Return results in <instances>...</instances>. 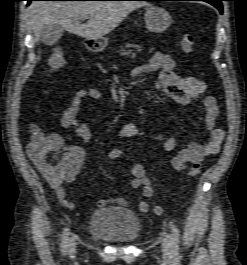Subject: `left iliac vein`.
<instances>
[{
	"label": "left iliac vein",
	"mask_w": 247,
	"mask_h": 265,
	"mask_svg": "<svg viewBox=\"0 0 247 265\" xmlns=\"http://www.w3.org/2000/svg\"><path fill=\"white\" fill-rule=\"evenodd\" d=\"M171 236L167 234L162 240V254L165 258L171 257Z\"/></svg>",
	"instance_id": "4c4485c4"
}]
</instances>
